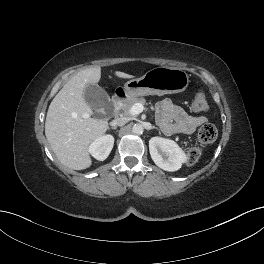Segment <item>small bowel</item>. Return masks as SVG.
Wrapping results in <instances>:
<instances>
[{"label":"small bowel","instance_id":"1","mask_svg":"<svg viewBox=\"0 0 264 264\" xmlns=\"http://www.w3.org/2000/svg\"><path fill=\"white\" fill-rule=\"evenodd\" d=\"M156 111L158 124L167 135H190L207 121L204 116L189 115L170 99L159 102Z\"/></svg>","mask_w":264,"mask_h":264}]
</instances>
